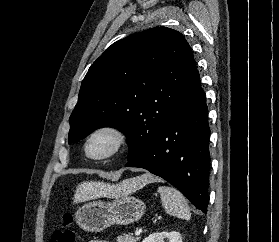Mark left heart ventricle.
I'll use <instances>...</instances> for the list:
<instances>
[{
	"instance_id": "1",
	"label": "left heart ventricle",
	"mask_w": 279,
	"mask_h": 242,
	"mask_svg": "<svg viewBox=\"0 0 279 242\" xmlns=\"http://www.w3.org/2000/svg\"><path fill=\"white\" fill-rule=\"evenodd\" d=\"M112 137L107 134H102L95 137L90 144V153L93 156H100L105 154L112 147Z\"/></svg>"
}]
</instances>
